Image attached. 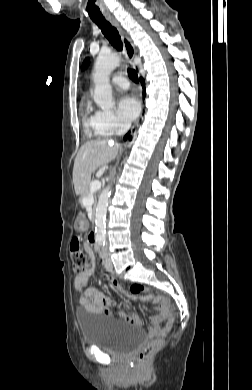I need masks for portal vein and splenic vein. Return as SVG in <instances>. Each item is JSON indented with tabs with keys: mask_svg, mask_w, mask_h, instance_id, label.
<instances>
[{
	"mask_svg": "<svg viewBox=\"0 0 252 390\" xmlns=\"http://www.w3.org/2000/svg\"><path fill=\"white\" fill-rule=\"evenodd\" d=\"M101 187V183L99 180H94L90 186V194L88 195L87 198L83 199V203L85 205H91L93 202V193L99 190Z\"/></svg>",
	"mask_w": 252,
	"mask_h": 390,
	"instance_id": "portal-vein-and-splenic-vein-1",
	"label": "portal vein and splenic vein"
}]
</instances>
